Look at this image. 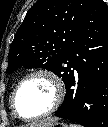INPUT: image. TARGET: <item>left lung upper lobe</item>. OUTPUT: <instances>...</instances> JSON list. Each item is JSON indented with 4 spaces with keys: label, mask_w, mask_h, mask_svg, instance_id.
<instances>
[{
    "label": "left lung upper lobe",
    "mask_w": 108,
    "mask_h": 127,
    "mask_svg": "<svg viewBox=\"0 0 108 127\" xmlns=\"http://www.w3.org/2000/svg\"><path fill=\"white\" fill-rule=\"evenodd\" d=\"M88 0H39L15 34L7 73L42 67L65 81L64 67Z\"/></svg>",
    "instance_id": "left-lung-upper-lobe-1"
}]
</instances>
